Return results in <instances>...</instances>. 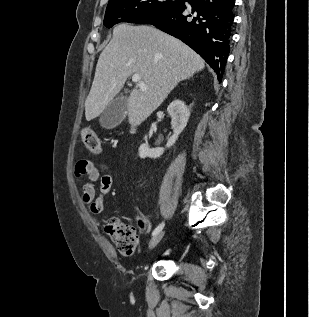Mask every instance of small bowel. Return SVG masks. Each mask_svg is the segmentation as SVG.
<instances>
[{"label": "small bowel", "instance_id": "small-bowel-1", "mask_svg": "<svg viewBox=\"0 0 309 317\" xmlns=\"http://www.w3.org/2000/svg\"><path fill=\"white\" fill-rule=\"evenodd\" d=\"M74 174L77 178H88V182L82 187L81 199L93 214L101 213L104 209V199L112 187V176L108 173L102 175L92 161L84 158L76 162Z\"/></svg>", "mask_w": 309, "mask_h": 317}]
</instances>
